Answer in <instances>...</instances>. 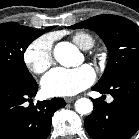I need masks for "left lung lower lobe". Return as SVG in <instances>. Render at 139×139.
<instances>
[{"label": "left lung lower lobe", "instance_id": "left-lung-lower-lobe-1", "mask_svg": "<svg viewBox=\"0 0 139 139\" xmlns=\"http://www.w3.org/2000/svg\"><path fill=\"white\" fill-rule=\"evenodd\" d=\"M93 90L109 93L110 104L102 97L93 100L94 110L85 119L88 134L93 139H129L139 128V65L121 73L108 86L95 85Z\"/></svg>", "mask_w": 139, "mask_h": 139}]
</instances>
